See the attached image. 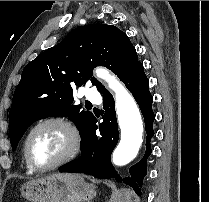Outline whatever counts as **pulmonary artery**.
Segmentation results:
<instances>
[{
    "label": "pulmonary artery",
    "instance_id": "1",
    "mask_svg": "<svg viewBox=\"0 0 209 202\" xmlns=\"http://www.w3.org/2000/svg\"><path fill=\"white\" fill-rule=\"evenodd\" d=\"M86 99L92 104L99 105L101 103V96L95 89H87L85 92Z\"/></svg>",
    "mask_w": 209,
    "mask_h": 202
}]
</instances>
